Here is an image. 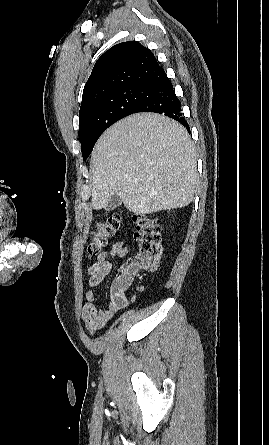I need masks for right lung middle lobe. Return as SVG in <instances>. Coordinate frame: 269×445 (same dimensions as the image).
<instances>
[{"instance_id":"1","label":"right lung middle lobe","mask_w":269,"mask_h":445,"mask_svg":"<svg viewBox=\"0 0 269 445\" xmlns=\"http://www.w3.org/2000/svg\"><path fill=\"white\" fill-rule=\"evenodd\" d=\"M154 94L153 86H126L111 90L79 111V139L86 160L100 135L116 121L132 114Z\"/></svg>"}]
</instances>
